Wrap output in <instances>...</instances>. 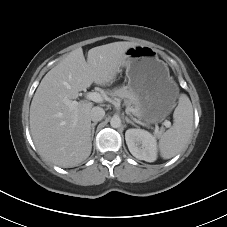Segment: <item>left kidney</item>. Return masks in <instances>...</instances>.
Listing matches in <instances>:
<instances>
[{"instance_id":"1","label":"left kidney","mask_w":227,"mask_h":227,"mask_svg":"<svg viewBox=\"0 0 227 227\" xmlns=\"http://www.w3.org/2000/svg\"><path fill=\"white\" fill-rule=\"evenodd\" d=\"M125 140L130 153L146 162H154L157 158L156 138L142 129H128Z\"/></svg>"}]
</instances>
